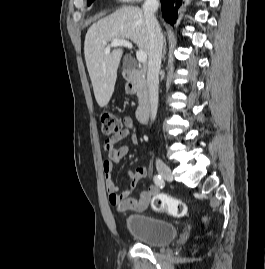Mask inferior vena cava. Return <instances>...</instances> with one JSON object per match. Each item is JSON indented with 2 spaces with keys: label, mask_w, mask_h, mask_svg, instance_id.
Returning a JSON list of instances; mask_svg holds the SVG:
<instances>
[{
  "label": "inferior vena cava",
  "mask_w": 265,
  "mask_h": 269,
  "mask_svg": "<svg viewBox=\"0 0 265 269\" xmlns=\"http://www.w3.org/2000/svg\"><path fill=\"white\" fill-rule=\"evenodd\" d=\"M158 7V0H146L142 6L150 39L147 85L152 121H154L156 118L158 108L159 71L161 67L164 41L161 28L155 17V12L157 11Z\"/></svg>",
  "instance_id": "obj_1"
}]
</instances>
